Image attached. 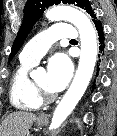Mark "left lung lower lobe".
<instances>
[{"mask_svg":"<svg viewBox=\"0 0 117 136\" xmlns=\"http://www.w3.org/2000/svg\"><path fill=\"white\" fill-rule=\"evenodd\" d=\"M92 21L95 26L96 36H97V45H98V61H97V74L104 71L107 64V49L105 42V33L102 26V23L97 17H93ZM95 87V82L93 83V88Z\"/></svg>","mask_w":117,"mask_h":136,"instance_id":"obj_1","label":"left lung lower lobe"}]
</instances>
